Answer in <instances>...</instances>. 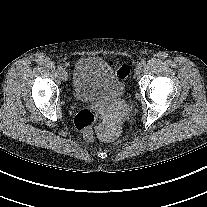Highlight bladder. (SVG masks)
Returning <instances> with one entry per match:
<instances>
[{
	"label": "bladder",
	"instance_id": "31cf9c89",
	"mask_svg": "<svg viewBox=\"0 0 207 207\" xmlns=\"http://www.w3.org/2000/svg\"><path fill=\"white\" fill-rule=\"evenodd\" d=\"M122 78L106 61L99 57L81 58L75 65L72 93L81 101H105L124 94Z\"/></svg>",
	"mask_w": 207,
	"mask_h": 207
}]
</instances>
